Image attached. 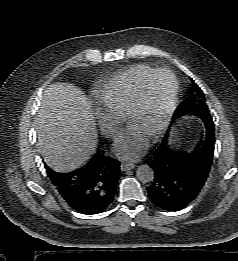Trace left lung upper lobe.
Instances as JSON below:
<instances>
[{
  "mask_svg": "<svg viewBox=\"0 0 238 261\" xmlns=\"http://www.w3.org/2000/svg\"><path fill=\"white\" fill-rule=\"evenodd\" d=\"M193 83V92L190 97L184 100L176 109L173 119L179 118L188 113H194L198 116L206 114L211 117L207 105L205 104V97L198 85L190 79ZM203 112V113H202ZM167 138V136L165 137Z\"/></svg>",
  "mask_w": 238,
  "mask_h": 261,
  "instance_id": "obj_1",
  "label": "left lung upper lobe"
}]
</instances>
